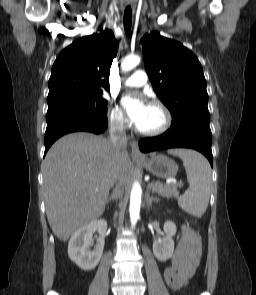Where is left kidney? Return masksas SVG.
Listing matches in <instances>:
<instances>
[{"label":"left kidney","instance_id":"1","mask_svg":"<svg viewBox=\"0 0 256 295\" xmlns=\"http://www.w3.org/2000/svg\"><path fill=\"white\" fill-rule=\"evenodd\" d=\"M163 229L165 237L153 242V253L159 261L166 262L172 257L174 252L173 236L176 234L177 228L174 222L166 221Z\"/></svg>","mask_w":256,"mask_h":295}]
</instances>
